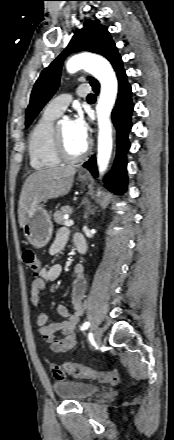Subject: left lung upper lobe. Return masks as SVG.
Segmentation results:
<instances>
[{
	"label": "left lung upper lobe",
	"mask_w": 174,
	"mask_h": 440,
	"mask_svg": "<svg viewBox=\"0 0 174 440\" xmlns=\"http://www.w3.org/2000/svg\"><path fill=\"white\" fill-rule=\"evenodd\" d=\"M75 51H90L106 57L109 61L118 54L108 28L99 24V20H86L84 27L77 30L69 45L47 68H45L36 81L31 93L30 103L26 110V126L40 112L42 107L56 92L60 82V71L65 57ZM90 84L97 82L89 78Z\"/></svg>",
	"instance_id": "obj_1"
}]
</instances>
